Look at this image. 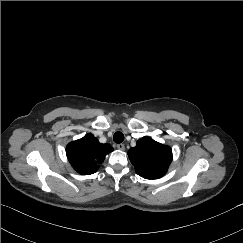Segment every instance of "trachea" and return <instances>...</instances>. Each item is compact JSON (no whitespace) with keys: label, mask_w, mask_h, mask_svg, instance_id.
<instances>
[{"label":"trachea","mask_w":243,"mask_h":243,"mask_svg":"<svg viewBox=\"0 0 243 243\" xmlns=\"http://www.w3.org/2000/svg\"><path fill=\"white\" fill-rule=\"evenodd\" d=\"M113 140L115 143H121L124 140V135L122 132L118 131L114 134Z\"/></svg>","instance_id":"1"}]
</instances>
